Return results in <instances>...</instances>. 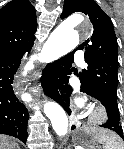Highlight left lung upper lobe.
I'll return each instance as SVG.
<instances>
[{
  "mask_svg": "<svg viewBox=\"0 0 124 149\" xmlns=\"http://www.w3.org/2000/svg\"><path fill=\"white\" fill-rule=\"evenodd\" d=\"M74 12L85 13L93 24L91 36L76 48L86 49L84 56L88 64L87 69L80 72V80L109 92L117 99L118 43L113 23L94 0H65L61 18Z\"/></svg>",
  "mask_w": 124,
  "mask_h": 149,
  "instance_id": "obj_1",
  "label": "left lung upper lobe"
}]
</instances>
